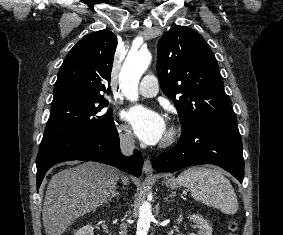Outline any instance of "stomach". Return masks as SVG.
<instances>
[{"label":"stomach","instance_id":"0dacf381","mask_svg":"<svg viewBox=\"0 0 283 235\" xmlns=\"http://www.w3.org/2000/svg\"><path fill=\"white\" fill-rule=\"evenodd\" d=\"M165 184L168 185L171 188H175L178 183H177L176 179L172 177V178L166 180Z\"/></svg>","mask_w":283,"mask_h":235}]
</instances>
